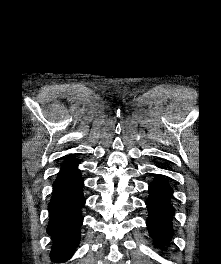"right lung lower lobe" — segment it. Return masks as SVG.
I'll use <instances>...</instances> for the list:
<instances>
[{
	"label": "right lung lower lobe",
	"instance_id": "1",
	"mask_svg": "<svg viewBox=\"0 0 221 264\" xmlns=\"http://www.w3.org/2000/svg\"><path fill=\"white\" fill-rule=\"evenodd\" d=\"M77 165L78 161L73 157L62 164L48 205L50 220L47 232L53 239L50 255L56 262L69 259L80 240L83 223L81 207L85 198L82 193L83 179Z\"/></svg>",
	"mask_w": 221,
	"mask_h": 264
}]
</instances>
